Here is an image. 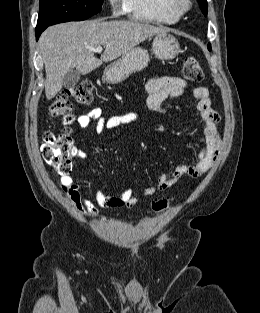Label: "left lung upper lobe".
Wrapping results in <instances>:
<instances>
[{
	"label": "left lung upper lobe",
	"mask_w": 260,
	"mask_h": 313,
	"mask_svg": "<svg viewBox=\"0 0 260 313\" xmlns=\"http://www.w3.org/2000/svg\"><path fill=\"white\" fill-rule=\"evenodd\" d=\"M200 6H201V10L203 12V14L205 16H207V1L206 0H198ZM208 49L210 50L211 49V46L210 44H208Z\"/></svg>",
	"instance_id": "5c2ea615"
}]
</instances>
